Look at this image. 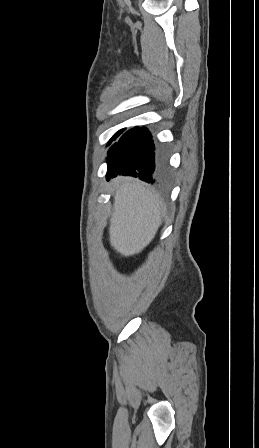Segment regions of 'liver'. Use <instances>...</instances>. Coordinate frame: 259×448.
I'll return each mask as SVG.
<instances>
[{"label": "liver", "instance_id": "1", "mask_svg": "<svg viewBox=\"0 0 259 448\" xmlns=\"http://www.w3.org/2000/svg\"><path fill=\"white\" fill-rule=\"evenodd\" d=\"M110 218V244L122 256L140 254L152 242L164 204L158 194L138 178H115Z\"/></svg>", "mask_w": 259, "mask_h": 448}]
</instances>
